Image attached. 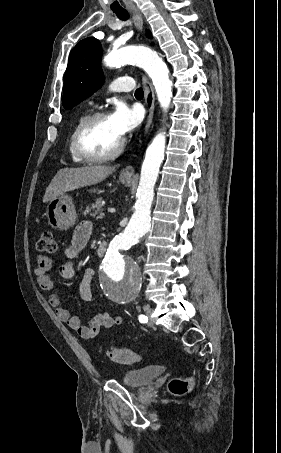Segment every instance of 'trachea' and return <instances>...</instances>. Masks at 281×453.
Segmentation results:
<instances>
[{
  "mask_svg": "<svg viewBox=\"0 0 281 453\" xmlns=\"http://www.w3.org/2000/svg\"><path fill=\"white\" fill-rule=\"evenodd\" d=\"M117 17L119 19H121L122 21H126L127 19H129V14L128 12H124V13H116ZM135 96L136 97H143L144 96V92L142 90V88H138L136 91H135Z\"/></svg>",
  "mask_w": 281,
  "mask_h": 453,
  "instance_id": "obj_1",
  "label": "trachea"
}]
</instances>
